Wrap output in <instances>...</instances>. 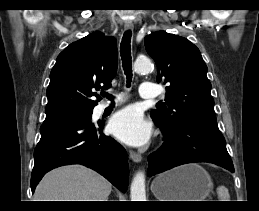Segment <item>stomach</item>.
<instances>
[{
	"label": "stomach",
	"instance_id": "stomach-1",
	"mask_svg": "<svg viewBox=\"0 0 259 211\" xmlns=\"http://www.w3.org/2000/svg\"><path fill=\"white\" fill-rule=\"evenodd\" d=\"M208 172L198 164H187L156 177L151 190L159 201H204L212 192Z\"/></svg>",
	"mask_w": 259,
	"mask_h": 211
}]
</instances>
